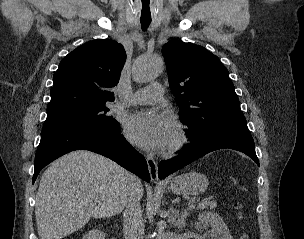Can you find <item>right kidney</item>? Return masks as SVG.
<instances>
[{
  "mask_svg": "<svg viewBox=\"0 0 304 239\" xmlns=\"http://www.w3.org/2000/svg\"><path fill=\"white\" fill-rule=\"evenodd\" d=\"M104 236L103 232L93 229L87 232L82 239H104Z\"/></svg>",
  "mask_w": 304,
  "mask_h": 239,
  "instance_id": "obj_1",
  "label": "right kidney"
}]
</instances>
